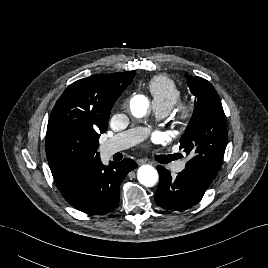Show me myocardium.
Here are the masks:
<instances>
[{"label": "myocardium", "mask_w": 268, "mask_h": 268, "mask_svg": "<svg viewBox=\"0 0 268 268\" xmlns=\"http://www.w3.org/2000/svg\"><path fill=\"white\" fill-rule=\"evenodd\" d=\"M194 115V104L190 101L181 102L176 110L175 119L180 125H185Z\"/></svg>", "instance_id": "myocardium-1"}]
</instances>
